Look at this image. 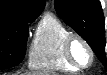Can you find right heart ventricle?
I'll use <instances>...</instances> for the list:
<instances>
[{
    "instance_id": "1",
    "label": "right heart ventricle",
    "mask_w": 107,
    "mask_h": 75,
    "mask_svg": "<svg viewBox=\"0 0 107 75\" xmlns=\"http://www.w3.org/2000/svg\"><path fill=\"white\" fill-rule=\"evenodd\" d=\"M70 33L57 17L46 14L40 20L30 46L29 67L41 71H78L64 55V40Z\"/></svg>"
}]
</instances>
